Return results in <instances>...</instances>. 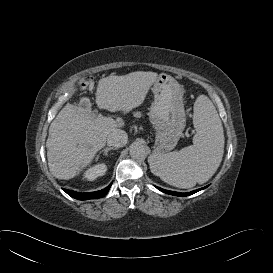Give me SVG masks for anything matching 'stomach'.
I'll return each instance as SVG.
<instances>
[{
    "mask_svg": "<svg viewBox=\"0 0 273 273\" xmlns=\"http://www.w3.org/2000/svg\"><path fill=\"white\" fill-rule=\"evenodd\" d=\"M152 92L150 117L156 131L155 150L165 153L176 146L186 126L183 90L172 76L162 73L154 81Z\"/></svg>",
    "mask_w": 273,
    "mask_h": 273,
    "instance_id": "0dacf381",
    "label": "stomach"
}]
</instances>
